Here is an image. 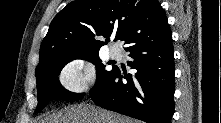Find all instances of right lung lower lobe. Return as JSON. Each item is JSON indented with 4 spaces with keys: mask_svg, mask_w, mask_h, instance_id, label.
Masks as SVG:
<instances>
[{
    "mask_svg": "<svg viewBox=\"0 0 221 123\" xmlns=\"http://www.w3.org/2000/svg\"><path fill=\"white\" fill-rule=\"evenodd\" d=\"M126 51L133 59L128 65L137 72L123 76L113 68L90 90L92 100L105 109L147 123H171L175 91L172 35Z\"/></svg>",
    "mask_w": 221,
    "mask_h": 123,
    "instance_id": "right-lung-lower-lobe-1",
    "label": "right lung lower lobe"
}]
</instances>
